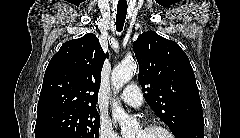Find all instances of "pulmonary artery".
I'll list each match as a JSON object with an SVG mask.
<instances>
[{"label": "pulmonary artery", "instance_id": "obj_1", "mask_svg": "<svg viewBox=\"0 0 240 138\" xmlns=\"http://www.w3.org/2000/svg\"><path fill=\"white\" fill-rule=\"evenodd\" d=\"M120 99L132 107H140L143 103V96L137 85H128L120 94Z\"/></svg>", "mask_w": 240, "mask_h": 138}]
</instances>
